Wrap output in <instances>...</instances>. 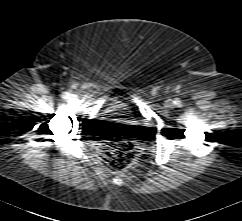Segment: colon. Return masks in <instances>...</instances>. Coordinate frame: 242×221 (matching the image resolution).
Masks as SVG:
<instances>
[{"label":"colon","mask_w":242,"mask_h":221,"mask_svg":"<svg viewBox=\"0 0 242 221\" xmlns=\"http://www.w3.org/2000/svg\"><path fill=\"white\" fill-rule=\"evenodd\" d=\"M103 163L113 171H121L129 167L135 159L134 145L125 140H114L102 144Z\"/></svg>","instance_id":"1"}]
</instances>
